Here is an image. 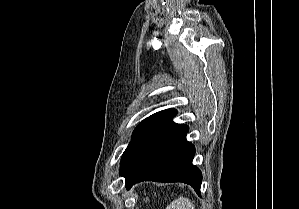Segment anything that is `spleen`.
Instances as JSON below:
<instances>
[{
	"label": "spleen",
	"mask_w": 299,
	"mask_h": 209,
	"mask_svg": "<svg viewBox=\"0 0 299 209\" xmlns=\"http://www.w3.org/2000/svg\"><path fill=\"white\" fill-rule=\"evenodd\" d=\"M166 209H195L193 202L188 198L179 197L174 200Z\"/></svg>",
	"instance_id": "spleen-1"
}]
</instances>
